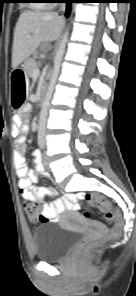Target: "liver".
<instances>
[{
    "label": "liver",
    "mask_w": 136,
    "mask_h": 296,
    "mask_svg": "<svg viewBox=\"0 0 136 296\" xmlns=\"http://www.w3.org/2000/svg\"><path fill=\"white\" fill-rule=\"evenodd\" d=\"M64 19L52 12L25 11L21 13L15 30L12 46V67H18L35 52L42 42L59 38ZM30 34V37L27 35Z\"/></svg>",
    "instance_id": "1"
}]
</instances>
